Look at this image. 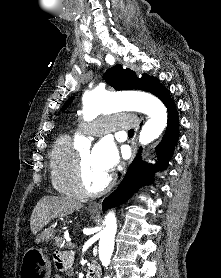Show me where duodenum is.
Listing matches in <instances>:
<instances>
[{
	"instance_id": "duodenum-1",
	"label": "duodenum",
	"mask_w": 221,
	"mask_h": 278,
	"mask_svg": "<svg viewBox=\"0 0 221 278\" xmlns=\"http://www.w3.org/2000/svg\"><path fill=\"white\" fill-rule=\"evenodd\" d=\"M86 278H101V273L96 266L90 265Z\"/></svg>"
}]
</instances>
